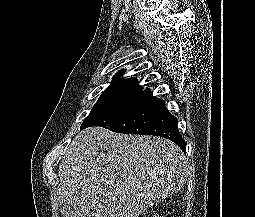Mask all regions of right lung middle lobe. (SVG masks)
<instances>
[{
	"mask_svg": "<svg viewBox=\"0 0 255 217\" xmlns=\"http://www.w3.org/2000/svg\"><path fill=\"white\" fill-rule=\"evenodd\" d=\"M143 92L142 87H109L102 93L90 114L84 119L81 129L98 117L133 100Z\"/></svg>",
	"mask_w": 255,
	"mask_h": 217,
	"instance_id": "dd1d6c3e",
	"label": "right lung middle lobe"
}]
</instances>
